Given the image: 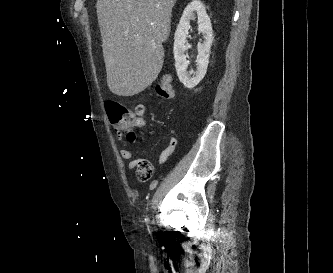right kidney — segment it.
I'll return each instance as SVG.
<instances>
[{
	"label": "right kidney",
	"instance_id": "ca27d5eb",
	"mask_svg": "<svg viewBox=\"0 0 333 273\" xmlns=\"http://www.w3.org/2000/svg\"><path fill=\"white\" fill-rule=\"evenodd\" d=\"M198 17V31L202 33L204 41L198 43V59L196 60L197 70L194 76L191 77L190 73L187 72L189 61L186 59L185 54L187 47L185 45L186 37L190 29V20H194ZM213 31L210 22V18L206 13L203 3L199 0H193L190 2L180 19L178 27L174 35V59L175 68L179 80L188 89L194 88L204 78L209 63V53L213 42Z\"/></svg>",
	"mask_w": 333,
	"mask_h": 273
}]
</instances>
